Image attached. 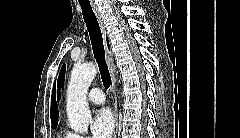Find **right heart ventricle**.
Here are the masks:
<instances>
[{"instance_id":"right-heart-ventricle-1","label":"right heart ventricle","mask_w":240,"mask_h":138,"mask_svg":"<svg viewBox=\"0 0 240 138\" xmlns=\"http://www.w3.org/2000/svg\"><path fill=\"white\" fill-rule=\"evenodd\" d=\"M59 138H68V137H65V136L61 135Z\"/></svg>"}]
</instances>
